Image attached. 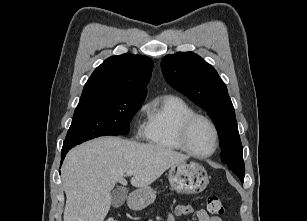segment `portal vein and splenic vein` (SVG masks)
Listing matches in <instances>:
<instances>
[{
	"label": "portal vein and splenic vein",
	"mask_w": 307,
	"mask_h": 221,
	"mask_svg": "<svg viewBox=\"0 0 307 221\" xmlns=\"http://www.w3.org/2000/svg\"><path fill=\"white\" fill-rule=\"evenodd\" d=\"M126 175L127 176H132V175H134V171L129 170V171L126 172Z\"/></svg>",
	"instance_id": "1"
}]
</instances>
